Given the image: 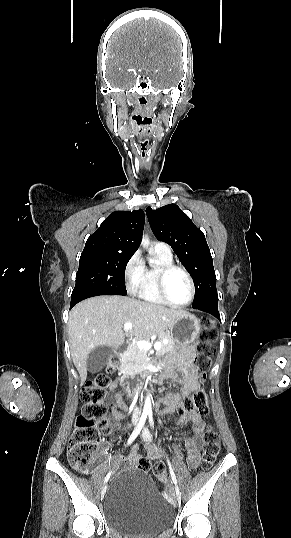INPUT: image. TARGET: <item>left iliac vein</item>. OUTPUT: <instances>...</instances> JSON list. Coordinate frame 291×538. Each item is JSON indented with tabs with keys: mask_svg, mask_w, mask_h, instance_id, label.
<instances>
[{
	"mask_svg": "<svg viewBox=\"0 0 291 538\" xmlns=\"http://www.w3.org/2000/svg\"><path fill=\"white\" fill-rule=\"evenodd\" d=\"M143 439L145 441H150L151 440V436H150V434H149V432H148V430L146 428H144V430H143ZM175 491H176V499L178 501H180L181 500V492H180L179 488L176 487Z\"/></svg>",
	"mask_w": 291,
	"mask_h": 538,
	"instance_id": "obj_1",
	"label": "left iliac vein"
}]
</instances>
